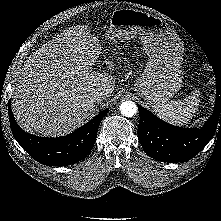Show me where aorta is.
Returning <instances> with one entry per match:
<instances>
[{
  "instance_id": "aorta-1",
  "label": "aorta",
  "mask_w": 221,
  "mask_h": 221,
  "mask_svg": "<svg viewBox=\"0 0 221 221\" xmlns=\"http://www.w3.org/2000/svg\"><path fill=\"white\" fill-rule=\"evenodd\" d=\"M119 109L125 117H133L137 113V105L133 101L122 102Z\"/></svg>"
}]
</instances>
